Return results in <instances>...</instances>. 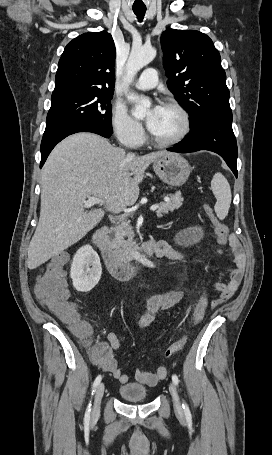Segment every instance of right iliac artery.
Here are the masks:
<instances>
[{
    "instance_id": "1",
    "label": "right iliac artery",
    "mask_w": 272,
    "mask_h": 455,
    "mask_svg": "<svg viewBox=\"0 0 272 455\" xmlns=\"http://www.w3.org/2000/svg\"><path fill=\"white\" fill-rule=\"evenodd\" d=\"M102 377L101 375H98L94 381V384H93V390H92V395L94 394L97 386L99 385L100 381H101ZM90 412H91V404L89 403L88 407H87V410H86V413H85V421H89L90 419Z\"/></svg>"
}]
</instances>
